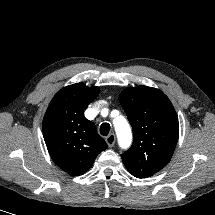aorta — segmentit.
Returning a JSON list of instances; mask_svg holds the SVG:
<instances>
[{"label": "aorta", "mask_w": 215, "mask_h": 215, "mask_svg": "<svg viewBox=\"0 0 215 215\" xmlns=\"http://www.w3.org/2000/svg\"><path fill=\"white\" fill-rule=\"evenodd\" d=\"M113 123H114L119 145L123 148L129 147L132 141V132L128 122L123 116H117L113 120Z\"/></svg>", "instance_id": "aorta-1"}]
</instances>
